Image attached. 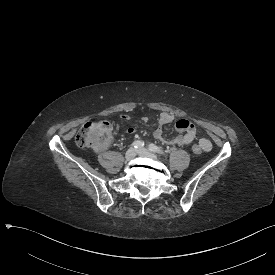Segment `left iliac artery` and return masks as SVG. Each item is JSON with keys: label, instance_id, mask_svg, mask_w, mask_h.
<instances>
[{"label": "left iliac artery", "instance_id": "1", "mask_svg": "<svg viewBox=\"0 0 275 275\" xmlns=\"http://www.w3.org/2000/svg\"><path fill=\"white\" fill-rule=\"evenodd\" d=\"M149 150L152 151V152L158 153L162 156H166V153L161 148L156 146L155 144H150L149 145Z\"/></svg>", "mask_w": 275, "mask_h": 275}]
</instances>
